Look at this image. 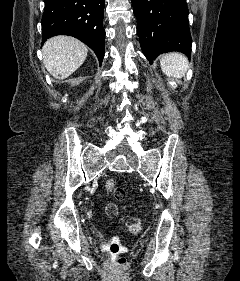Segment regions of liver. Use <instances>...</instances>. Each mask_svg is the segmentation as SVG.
<instances>
[{
    "label": "liver",
    "mask_w": 240,
    "mask_h": 281,
    "mask_svg": "<svg viewBox=\"0 0 240 281\" xmlns=\"http://www.w3.org/2000/svg\"><path fill=\"white\" fill-rule=\"evenodd\" d=\"M43 63L57 79H66L85 61L87 46L69 36H56L47 40L42 48Z\"/></svg>",
    "instance_id": "1"
}]
</instances>
